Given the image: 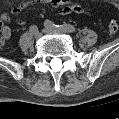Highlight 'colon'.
<instances>
[{
	"instance_id": "5ec220e1",
	"label": "colon",
	"mask_w": 119,
	"mask_h": 119,
	"mask_svg": "<svg viewBox=\"0 0 119 119\" xmlns=\"http://www.w3.org/2000/svg\"><path fill=\"white\" fill-rule=\"evenodd\" d=\"M3 28L2 26H0V43H2V40H3V37H4V31H3ZM108 33L110 35H114L116 34L117 30H118V24H117V21L115 19H112L109 21L108 23Z\"/></svg>"
}]
</instances>
